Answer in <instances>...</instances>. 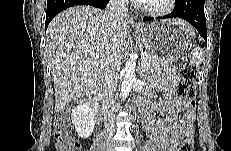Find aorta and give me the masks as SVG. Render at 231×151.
<instances>
[{"instance_id": "aorta-1", "label": "aorta", "mask_w": 231, "mask_h": 151, "mask_svg": "<svg viewBox=\"0 0 231 151\" xmlns=\"http://www.w3.org/2000/svg\"><path fill=\"white\" fill-rule=\"evenodd\" d=\"M135 69V60L133 58H130L126 62L125 68L123 70L124 78L121 85V97L123 100L129 95L132 89L133 82L135 81Z\"/></svg>"}]
</instances>
